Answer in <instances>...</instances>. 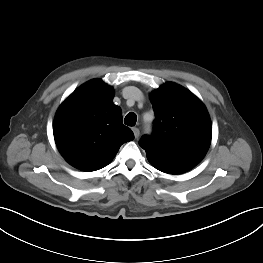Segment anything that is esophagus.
Listing matches in <instances>:
<instances>
[{
    "mask_svg": "<svg viewBox=\"0 0 263 263\" xmlns=\"http://www.w3.org/2000/svg\"><path fill=\"white\" fill-rule=\"evenodd\" d=\"M132 130H133L135 138H138L140 135V130L136 127H134Z\"/></svg>",
    "mask_w": 263,
    "mask_h": 263,
    "instance_id": "34e87169",
    "label": "esophagus"
}]
</instances>
